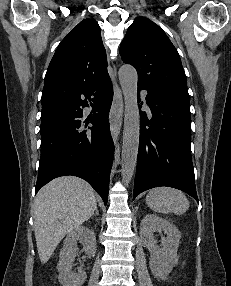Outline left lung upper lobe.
<instances>
[{"instance_id": "1", "label": "left lung upper lobe", "mask_w": 231, "mask_h": 286, "mask_svg": "<svg viewBox=\"0 0 231 286\" xmlns=\"http://www.w3.org/2000/svg\"><path fill=\"white\" fill-rule=\"evenodd\" d=\"M120 55L137 70L138 85L189 98L179 54L154 22L136 18L121 43Z\"/></svg>"}]
</instances>
